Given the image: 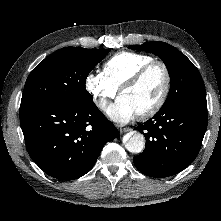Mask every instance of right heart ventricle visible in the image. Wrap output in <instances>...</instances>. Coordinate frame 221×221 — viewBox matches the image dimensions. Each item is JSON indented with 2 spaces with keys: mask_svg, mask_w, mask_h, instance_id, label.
Instances as JSON below:
<instances>
[{
  "mask_svg": "<svg viewBox=\"0 0 221 221\" xmlns=\"http://www.w3.org/2000/svg\"><path fill=\"white\" fill-rule=\"evenodd\" d=\"M152 60L153 57L142 53L119 52L104 62L102 73L118 90L138 68Z\"/></svg>",
  "mask_w": 221,
  "mask_h": 221,
  "instance_id": "right-heart-ventricle-1",
  "label": "right heart ventricle"
}]
</instances>
